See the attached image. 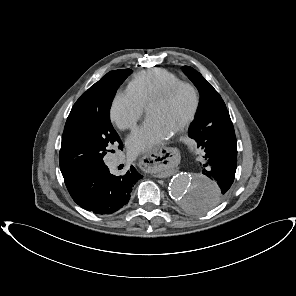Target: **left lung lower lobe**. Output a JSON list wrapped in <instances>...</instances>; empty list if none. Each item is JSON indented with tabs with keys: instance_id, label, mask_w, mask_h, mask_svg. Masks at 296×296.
<instances>
[{
	"instance_id": "0a47b994",
	"label": "left lung lower lobe",
	"mask_w": 296,
	"mask_h": 296,
	"mask_svg": "<svg viewBox=\"0 0 296 296\" xmlns=\"http://www.w3.org/2000/svg\"><path fill=\"white\" fill-rule=\"evenodd\" d=\"M200 136L206 160L202 173L217 182L218 190L195 198L190 206L195 211L210 209L228 194L237 166V141L228 111L201 131Z\"/></svg>"
}]
</instances>
